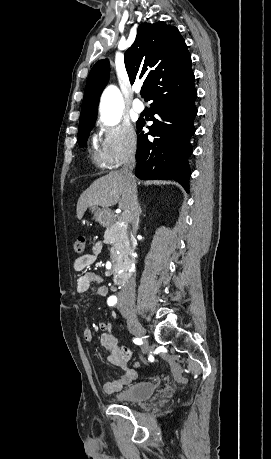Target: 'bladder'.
Returning a JSON list of instances; mask_svg holds the SVG:
<instances>
[{
	"mask_svg": "<svg viewBox=\"0 0 271 459\" xmlns=\"http://www.w3.org/2000/svg\"><path fill=\"white\" fill-rule=\"evenodd\" d=\"M156 392L154 382L132 383L116 397L117 404H136L148 400Z\"/></svg>",
	"mask_w": 271,
	"mask_h": 459,
	"instance_id": "bladder-1",
	"label": "bladder"
}]
</instances>
